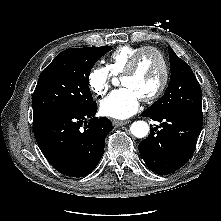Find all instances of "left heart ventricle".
Wrapping results in <instances>:
<instances>
[{
    "mask_svg": "<svg viewBox=\"0 0 221 221\" xmlns=\"http://www.w3.org/2000/svg\"><path fill=\"white\" fill-rule=\"evenodd\" d=\"M163 75L162 63L157 54L144 53L133 75L121 78V84L132 88L140 98L151 94Z\"/></svg>",
    "mask_w": 221,
    "mask_h": 221,
    "instance_id": "obj_1",
    "label": "left heart ventricle"
}]
</instances>
